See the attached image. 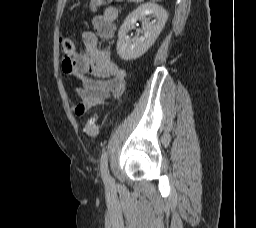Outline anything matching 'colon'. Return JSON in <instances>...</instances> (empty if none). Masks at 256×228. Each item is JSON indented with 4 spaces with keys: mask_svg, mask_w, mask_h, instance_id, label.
Wrapping results in <instances>:
<instances>
[{
    "mask_svg": "<svg viewBox=\"0 0 256 228\" xmlns=\"http://www.w3.org/2000/svg\"><path fill=\"white\" fill-rule=\"evenodd\" d=\"M112 1H120V0H90V9L91 11H96L100 6L110 3ZM61 46L64 54L67 57H72L76 53V48L74 43L66 37L61 39ZM85 133L90 137H95L99 133V127L97 124V117L95 115H91L87 118L85 127Z\"/></svg>",
    "mask_w": 256,
    "mask_h": 228,
    "instance_id": "1",
    "label": "colon"
}]
</instances>
